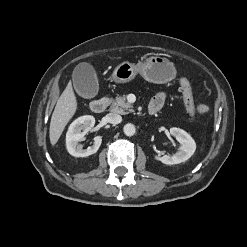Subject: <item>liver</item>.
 <instances>
[{
    "mask_svg": "<svg viewBox=\"0 0 247 247\" xmlns=\"http://www.w3.org/2000/svg\"><path fill=\"white\" fill-rule=\"evenodd\" d=\"M76 110L77 100L72 88V83L69 82L59 97L51 117L49 129L51 145L54 146L58 142L65 126L73 117Z\"/></svg>",
    "mask_w": 247,
    "mask_h": 247,
    "instance_id": "1",
    "label": "liver"
}]
</instances>
